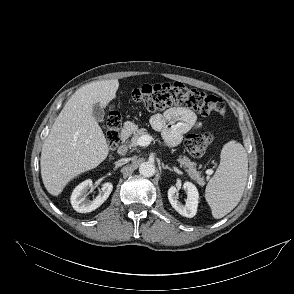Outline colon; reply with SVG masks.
<instances>
[{
  "instance_id": "1",
  "label": "colon",
  "mask_w": 294,
  "mask_h": 294,
  "mask_svg": "<svg viewBox=\"0 0 294 294\" xmlns=\"http://www.w3.org/2000/svg\"><path fill=\"white\" fill-rule=\"evenodd\" d=\"M132 95L147 111L162 110L172 105H185L202 115H224L226 112L221 98L179 82L142 85L134 89ZM120 124V114L116 110H111L107 117L106 134L110 148H114L118 142ZM212 140L213 135L210 132L192 133L186 137L185 147L190 155L200 157L206 152Z\"/></svg>"
}]
</instances>
